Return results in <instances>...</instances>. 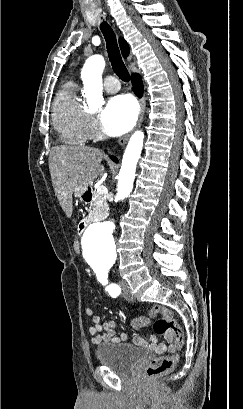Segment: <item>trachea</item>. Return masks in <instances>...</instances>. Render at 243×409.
<instances>
[{
    "label": "trachea",
    "mask_w": 243,
    "mask_h": 409,
    "mask_svg": "<svg viewBox=\"0 0 243 409\" xmlns=\"http://www.w3.org/2000/svg\"><path fill=\"white\" fill-rule=\"evenodd\" d=\"M100 29L106 40L108 57L114 72L118 75V77L121 80H123L124 82H129L130 80L129 73L122 60L115 33L113 32L112 28L108 25V23L105 21L101 23Z\"/></svg>",
    "instance_id": "1"
}]
</instances>
